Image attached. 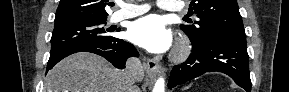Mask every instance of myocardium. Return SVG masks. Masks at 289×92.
<instances>
[{
    "label": "myocardium",
    "instance_id": "1",
    "mask_svg": "<svg viewBox=\"0 0 289 92\" xmlns=\"http://www.w3.org/2000/svg\"><path fill=\"white\" fill-rule=\"evenodd\" d=\"M190 53V44L186 39H182L173 53V59L176 61L184 60Z\"/></svg>",
    "mask_w": 289,
    "mask_h": 92
}]
</instances>
